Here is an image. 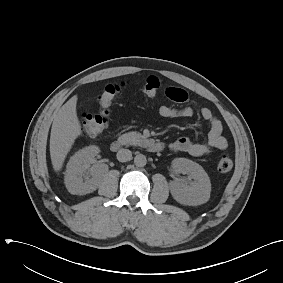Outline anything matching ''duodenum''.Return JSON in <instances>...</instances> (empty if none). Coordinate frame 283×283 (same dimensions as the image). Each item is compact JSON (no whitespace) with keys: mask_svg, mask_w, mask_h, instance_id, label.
<instances>
[{"mask_svg":"<svg viewBox=\"0 0 283 283\" xmlns=\"http://www.w3.org/2000/svg\"><path fill=\"white\" fill-rule=\"evenodd\" d=\"M148 150L154 153L163 151L164 144L157 141H148L147 143ZM122 148V143L119 140H114L110 144V149L113 152H117Z\"/></svg>","mask_w":283,"mask_h":283,"instance_id":"duodenum-1","label":"duodenum"}]
</instances>
